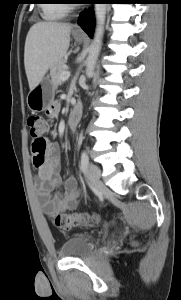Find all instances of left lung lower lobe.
I'll return each instance as SVG.
<instances>
[{"instance_id": "1", "label": "left lung lower lobe", "mask_w": 181, "mask_h": 300, "mask_svg": "<svg viewBox=\"0 0 181 300\" xmlns=\"http://www.w3.org/2000/svg\"><path fill=\"white\" fill-rule=\"evenodd\" d=\"M99 2L110 3L109 0L93 1L90 3H99ZM79 25L90 37H92L94 32V27H95V19L93 13L91 11L83 12V14L81 15V19L79 21Z\"/></svg>"}]
</instances>
